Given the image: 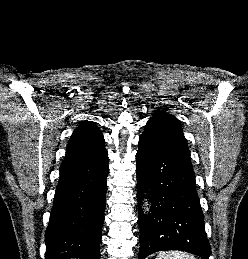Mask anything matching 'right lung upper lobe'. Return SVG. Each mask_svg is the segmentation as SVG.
<instances>
[{"label":"right lung upper lobe","instance_id":"obj_1","mask_svg":"<svg viewBox=\"0 0 248 259\" xmlns=\"http://www.w3.org/2000/svg\"><path fill=\"white\" fill-rule=\"evenodd\" d=\"M104 152L106 149L100 129L93 122L85 121L73 132L61 165L94 159Z\"/></svg>","mask_w":248,"mask_h":259}]
</instances>
